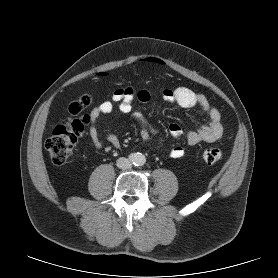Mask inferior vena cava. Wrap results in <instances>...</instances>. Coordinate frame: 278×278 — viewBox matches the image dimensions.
Listing matches in <instances>:
<instances>
[{
    "mask_svg": "<svg viewBox=\"0 0 278 278\" xmlns=\"http://www.w3.org/2000/svg\"><path fill=\"white\" fill-rule=\"evenodd\" d=\"M116 165L120 169H129L132 164L129 159H127L125 157H120L117 159Z\"/></svg>",
    "mask_w": 278,
    "mask_h": 278,
    "instance_id": "602c4592",
    "label": "inferior vena cava"
}]
</instances>
